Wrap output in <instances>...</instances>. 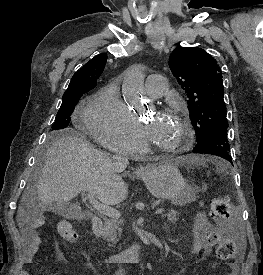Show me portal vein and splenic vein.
<instances>
[{
	"mask_svg": "<svg viewBox=\"0 0 263 275\" xmlns=\"http://www.w3.org/2000/svg\"><path fill=\"white\" fill-rule=\"evenodd\" d=\"M87 199L89 200V203L92 205V207L99 213L106 215L108 217L119 219L121 214L118 210L100 203L96 200L95 195L92 192H88ZM164 212L163 208L156 209L155 214H162Z\"/></svg>",
	"mask_w": 263,
	"mask_h": 275,
	"instance_id": "obj_1",
	"label": "portal vein and splenic vein"
}]
</instances>
